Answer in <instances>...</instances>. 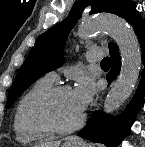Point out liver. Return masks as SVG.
Listing matches in <instances>:
<instances>
[{"label": "liver", "mask_w": 145, "mask_h": 147, "mask_svg": "<svg viewBox=\"0 0 145 147\" xmlns=\"http://www.w3.org/2000/svg\"><path fill=\"white\" fill-rule=\"evenodd\" d=\"M60 141L55 142H41L36 147H59Z\"/></svg>", "instance_id": "obj_1"}]
</instances>
